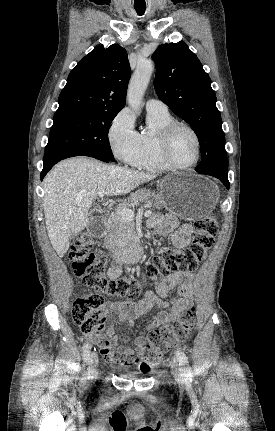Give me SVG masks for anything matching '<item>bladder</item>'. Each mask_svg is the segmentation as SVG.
I'll list each match as a JSON object with an SVG mask.
<instances>
[{
  "instance_id": "bladder-1",
  "label": "bladder",
  "mask_w": 275,
  "mask_h": 431,
  "mask_svg": "<svg viewBox=\"0 0 275 431\" xmlns=\"http://www.w3.org/2000/svg\"><path fill=\"white\" fill-rule=\"evenodd\" d=\"M134 376H138L139 374L138 373H135V374H133Z\"/></svg>"
}]
</instances>
